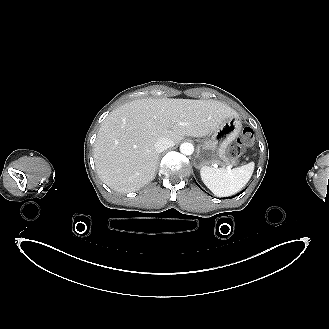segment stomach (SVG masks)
I'll use <instances>...</instances> for the list:
<instances>
[{"label":"stomach","instance_id":"obj_1","mask_svg":"<svg viewBox=\"0 0 329 329\" xmlns=\"http://www.w3.org/2000/svg\"><path fill=\"white\" fill-rule=\"evenodd\" d=\"M242 128L239 116H230L223 121L212 133L209 140L201 145V149L196 157L198 167L220 165H236L237 157L231 156L228 152L229 145L238 137Z\"/></svg>","mask_w":329,"mask_h":329}]
</instances>
